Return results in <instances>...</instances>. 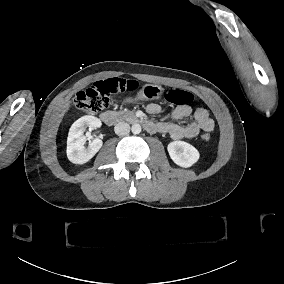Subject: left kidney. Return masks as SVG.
<instances>
[{"label": "left kidney", "instance_id": "left-kidney-1", "mask_svg": "<svg viewBox=\"0 0 284 284\" xmlns=\"http://www.w3.org/2000/svg\"><path fill=\"white\" fill-rule=\"evenodd\" d=\"M167 149L174 163L184 168L192 166L200 156L195 147L184 141H173Z\"/></svg>", "mask_w": 284, "mask_h": 284}]
</instances>
